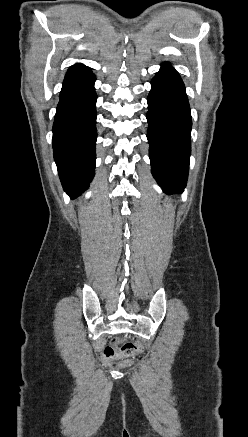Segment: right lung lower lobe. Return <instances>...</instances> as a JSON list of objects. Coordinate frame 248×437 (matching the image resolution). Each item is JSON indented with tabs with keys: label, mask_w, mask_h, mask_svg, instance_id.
Wrapping results in <instances>:
<instances>
[{
	"label": "right lung lower lobe",
	"mask_w": 248,
	"mask_h": 437,
	"mask_svg": "<svg viewBox=\"0 0 248 437\" xmlns=\"http://www.w3.org/2000/svg\"><path fill=\"white\" fill-rule=\"evenodd\" d=\"M96 78L89 67L71 66L64 78L53 124L54 159L70 198L89 187L95 170Z\"/></svg>",
	"instance_id": "obj_1"
}]
</instances>
